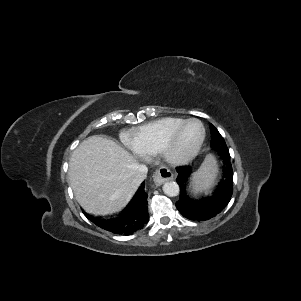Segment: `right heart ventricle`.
I'll return each mask as SVG.
<instances>
[{"mask_svg": "<svg viewBox=\"0 0 301 301\" xmlns=\"http://www.w3.org/2000/svg\"><path fill=\"white\" fill-rule=\"evenodd\" d=\"M185 120L179 117H165L144 124L129 133V144L139 154H157L166 136Z\"/></svg>", "mask_w": 301, "mask_h": 301, "instance_id": "e07e8e85", "label": "right heart ventricle"}]
</instances>
